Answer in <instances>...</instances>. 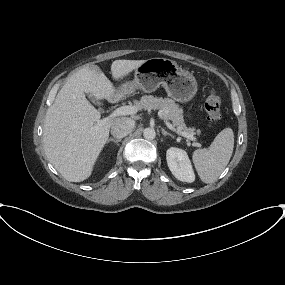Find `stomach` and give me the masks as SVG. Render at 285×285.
Returning a JSON list of instances; mask_svg holds the SVG:
<instances>
[{
    "label": "stomach",
    "mask_w": 285,
    "mask_h": 285,
    "mask_svg": "<svg viewBox=\"0 0 285 285\" xmlns=\"http://www.w3.org/2000/svg\"><path fill=\"white\" fill-rule=\"evenodd\" d=\"M134 76L133 81L123 85L126 84L133 90L141 89L146 93L163 86L169 97L181 103L192 100L198 89L195 77L188 70L166 58L154 57L145 60L135 69ZM188 117L191 118V114Z\"/></svg>",
    "instance_id": "0dacf381"
}]
</instances>
